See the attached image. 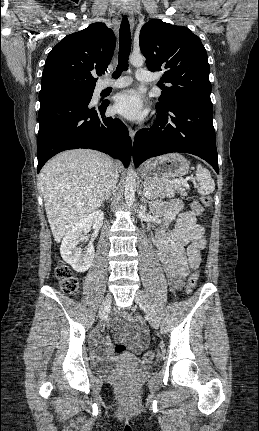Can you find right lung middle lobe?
Masks as SVG:
<instances>
[{"mask_svg": "<svg viewBox=\"0 0 259 431\" xmlns=\"http://www.w3.org/2000/svg\"><path fill=\"white\" fill-rule=\"evenodd\" d=\"M94 89H84L69 83L50 84L39 93L40 103L60 96L92 97Z\"/></svg>", "mask_w": 259, "mask_h": 431, "instance_id": "right-lung-middle-lobe-1", "label": "right lung middle lobe"}]
</instances>
